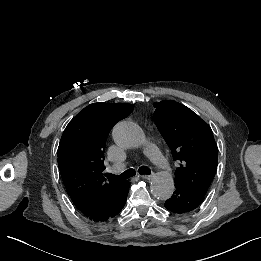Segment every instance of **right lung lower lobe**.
<instances>
[{"instance_id": "98d812e1", "label": "right lung lower lobe", "mask_w": 261, "mask_h": 261, "mask_svg": "<svg viewBox=\"0 0 261 261\" xmlns=\"http://www.w3.org/2000/svg\"><path fill=\"white\" fill-rule=\"evenodd\" d=\"M130 183L116 191L111 197L96 202L85 216L92 221H107L120 213L126 203Z\"/></svg>"}]
</instances>
